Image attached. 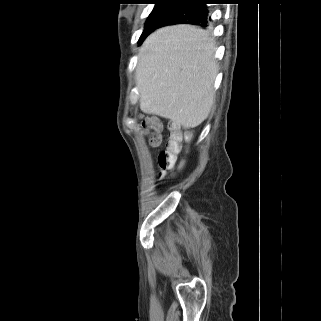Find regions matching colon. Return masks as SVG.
I'll return each instance as SVG.
<instances>
[{"instance_id":"5ec220e1","label":"colon","mask_w":321,"mask_h":321,"mask_svg":"<svg viewBox=\"0 0 321 321\" xmlns=\"http://www.w3.org/2000/svg\"><path fill=\"white\" fill-rule=\"evenodd\" d=\"M149 140L152 145H157L160 141V123L154 118H146L143 121ZM189 139V135L178 125L171 124L169 128V139L166 148L158 156L160 175L164 176L169 170L177 165V157L183 150L184 142Z\"/></svg>"}]
</instances>
